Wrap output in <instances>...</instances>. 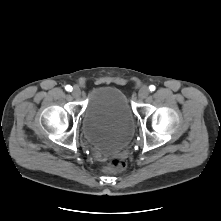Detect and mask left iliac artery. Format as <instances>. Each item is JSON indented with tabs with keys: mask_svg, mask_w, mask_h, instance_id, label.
<instances>
[{
	"mask_svg": "<svg viewBox=\"0 0 221 221\" xmlns=\"http://www.w3.org/2000/svg\"><path fill=\"white\" fill-rule=\"evenodd\" d=\"M149 89H150V91H154L155 90V86L154 85H150Z\"/></svg>",
	"mask_w": 221,
	"mask_h": 221,
	"instance_id": "left-iliac-artery-1",
	"label": "left iliac artery"
}]
</instances>
